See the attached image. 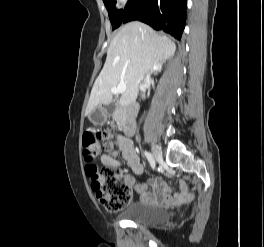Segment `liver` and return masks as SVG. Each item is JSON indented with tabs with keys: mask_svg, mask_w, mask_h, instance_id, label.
I'll use <instances>...</instances> for the list:
<instances>
[{
	"mask_svg": "<svg viewBox=\"0 0 264 247\" xmlns=\"http://www.w3.org/2000/svg\"><path fill=\"white\" fill-rule=\"evenodd\" d=\"M175 49L168 37L157 34L151 27L138 22L126 24L110 43L104 67L91 91L87 113L98 105L109 104L113 97L111 87L119 83L126 84L120 106L135 102L144 75L161 71Z\"/></svg>",
	"mask_w": 264,
	"mask_h": 247,
	"instance_id": "6515ba94",
	"label": "liver"
}]
</instances>
